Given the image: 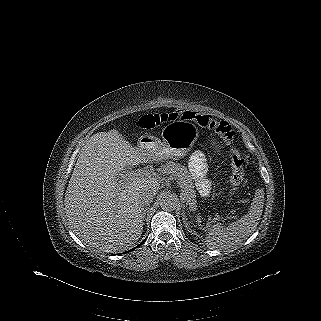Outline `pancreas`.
<instances>
[{
  "label": "pancreas",
  "mask_w": 321,
  "mask_h": 321,
  "mask_svg": "<svg viewBox=\"0 0 321 321\" xmlns=\"http://www.w3.org/2000/svg\"><path fill=\"white\" fill-rule=\"evenodd\" d=\"M163 169L166 174L171 175L177 180L186 204L190 210L194 211L196 209V195L187 168L179 163L170 161L164 165Z\"/></svg>",
  "instance_id": "obj_1"
}]
</instances>
